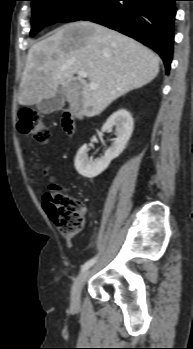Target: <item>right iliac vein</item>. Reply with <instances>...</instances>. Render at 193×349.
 Wrapping results in <instances>:
<instances>
[{
  "mask_svg": "<svg viewBox=\"0 0 193 349\" xmlns=\"http://www.w3.org/2000/svg\"><path fill=\"white\" fill-rule=\"evenodd\" d=\"M90 271L85 270L75 279L71 290V305L74 309L80 308V297L82 288L89 276Z\"/></svg>",
  "mask_w": 193,
  "mask_h": 349,
  "instance_id": "obj_1",
  "label": "right iliac vein"
}]
</instances>
